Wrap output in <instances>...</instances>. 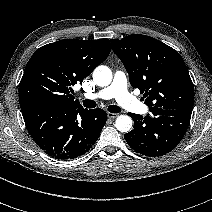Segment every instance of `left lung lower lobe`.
Segmentation results:
<instances>
[{
  "instance_id": "1",
  "label": "left lung lower lobe",
  "mask_w": 212,
  "mask_h": 212,
  "mask_svg": "<svg viewBox=\"0 0 212 212\" xmlns=\"http://www.w3.org/2000/svg\"><path fill=\"white\" fill-rule=\"evenodd\" d=\"M150 114L129 113L134 129L124 135L136 152L159 157L171 152L182 140L188 128L192 111L150 107Z\"/></svg>"
}]
</instances>
